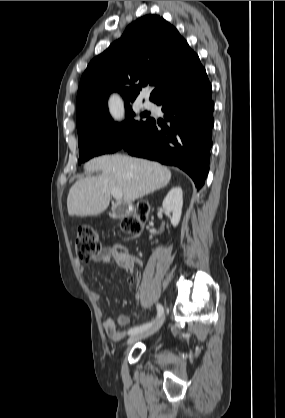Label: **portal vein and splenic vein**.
I'll return each mask as SVG.
<instances>
[{
    "label": "portal vein and splenic vein",
    "instance_id": "portal-vein-and-splenic-vein-1",
    "mask_svg": "<svg viewBox=\"0 0 285 418\" xmlns=\"http://www.w3.org/2000/svg\"><path fill=\"white\" fill-rule=\"evenodd\" d=\"M111 194L118 201L122 199V191L120 190H113Z\"/></svg>",
    "mask_w": 285,
    "mask_h": 418
}]
</instances>
